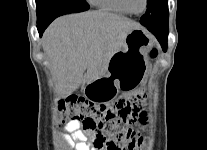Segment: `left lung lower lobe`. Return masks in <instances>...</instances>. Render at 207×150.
I'll list each match as a JSON object with an SVG mask.
<instances>
[{"label":"left lung lower lobe","instance_id":"0a47b994","mask_svg":"<svg viewBox=\"0 0 207 150\" xmlns=\"http://www.w3.org/2000/svg\"><path fill=\"white\" fill-rule=\"evenodd\" d=\"M147 28L158 39L159 43L161 44V47H162L163 51H166L167 50V38H168V32H169L168 26H164V27H147Z\"/></svg>","mask_w":207,"mask_h":150}]
</instances>
